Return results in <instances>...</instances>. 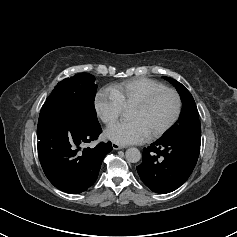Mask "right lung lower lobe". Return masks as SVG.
I'll use <instances>...</instances> for the list:
<instances>
[{"mask_svg": "<svg viewBox=\"0 0 237 237\" xmlns=\"http://www.w3.org/2000/svg\"><path fill=\"white\" fill-rule=\"evenodd\" d=\"M100 124L79 126L62 116L41 112L37 126L38 155L46 177L58 189L77 194L97 179L104 157L112 150L111 142L81 149L98 138Z\"/></svg>", "mask_w": 237, "mask_h": 237, "instance_id": "1", "label": "right lung lower lobe"}]
</instances>
